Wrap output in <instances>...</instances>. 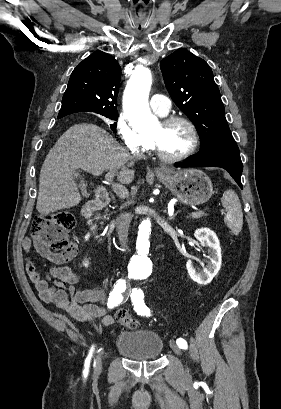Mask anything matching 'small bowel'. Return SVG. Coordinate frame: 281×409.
Returning <instances> with one entry per match:
<instances>
[{"label":"small bowel","mask_w":281,"mask_h":409,"mask_svg":"<svg viewBox=\"0 0 281 409\" xmlns=\"http://www.w3.org/2000/svg\"><path fill=\"white\" fill-rule=\"evenodd\" d=\"M35 243L43 256L55 259L43 244H39L38 240ZM22 246L27 252L32 250L29 239H25ZM25 268L43 302L55 305L78 322L98 323L104 327L115 323V318L106 314L108 301L104 285L94 289H77L74 285L81 277L66 265L52 267L44 278L39 276L30 258L26 259Z\"/></svg>","instance_id":"obj_1"}]
</instances>
